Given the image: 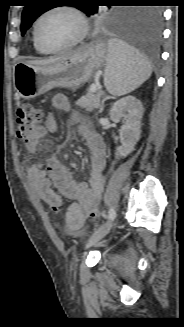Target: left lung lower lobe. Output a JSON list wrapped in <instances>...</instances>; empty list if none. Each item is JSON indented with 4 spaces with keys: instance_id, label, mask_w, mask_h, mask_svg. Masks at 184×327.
<instances>
[{
    "instance_id": "0a47b994",
    "label": "left lung lower lobe",
    "mask_w": 184,
    "mask_h": 327,
    "mask_svg": "<svg viewBox=\"0 0 184 327\" xmlns=\"http://www.w3.org/2000/svg\"><path fill=\"white\" fill-rule=\"evenodd\" d=\"M162 36V12L156 7L138 10L133 22L123 28L121 38L127 45L157 56Z\"/></svg>"
}]
</instances>
